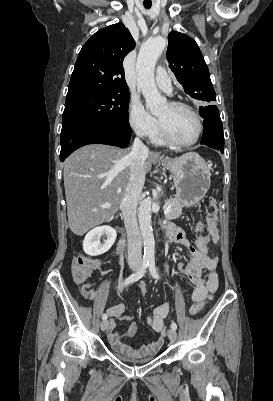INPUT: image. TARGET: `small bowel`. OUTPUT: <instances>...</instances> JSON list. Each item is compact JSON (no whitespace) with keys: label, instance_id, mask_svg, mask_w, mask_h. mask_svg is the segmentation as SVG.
Segmentation results:
<instances>
[{"label":"small bowel","instance_id":"small-bowel-1","mask_svg":"<svg viewBox=\"0 0 273 401\" xmlns=\"http://www.w3.org/2000/svg\"><path fill=\"white\" fill-rule=\"evenodd\" d=\"M219 218L217 215H210L207 218L205 227L206 233L200 235L192 245L185 237H182L183 231L181 228H170L167 230V235L170 240L178 239L183 245H185L191 252L192 258L187 264H180V269L186 276L188 271H203L204 275L207 276L206 284H194V289L190 294L192 301V307L190 309L191 314H196L204 309L206 304L213 298L218 288V274H217V257L209 255L208 245L212 242H216L218 236L215 230L216 224ZM88 261H97L92 258H87ZM98 262V261H97ZM100 264L98 262V268ZM76 283L81 284L86 280H75ZM143 284V283H141ZM85 304H92L93 302L99 306L106 302L104 292L102 290H90L88 295L83 298ZM170 311V304L164 303L154 309L151 316L146 320L147 325L155 332L162 333L165 329V321ZM105 315L109 319L107 327L108 340L113 349L126 356H151L160 347V344L164 342L166 338L165 334L157 339V342L150 343L139 350H133L126 346L122 342L123 334L116 331L118 322L124 320H132L133 316L130 313H126V307L124 304L119 303L105 309Z\"/></svg>","mask_w":273,"mask_h":401}]
</instances>
